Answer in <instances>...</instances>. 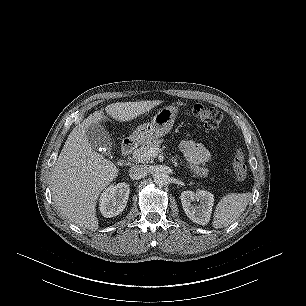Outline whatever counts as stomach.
<instances>
[{
    "mask_svg": "<svg viewBox=\"0 0 306 306\" xmlns=\"http://www.w3.org/2000/svg\"><path fill=\"white\" fill-rule=\"evenodd\" d=\"M178 114V107L166 106L160 109L151 123H144L136 128L130 138L138 143L145 144L168 134Z\"/></svg>",
    "mask_w": 306,
    "mask_h": 306,
    "instance_id": "obj_1",
    "label": "stomach"
}]
</instances>
